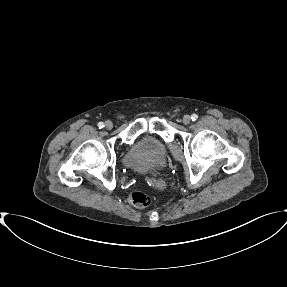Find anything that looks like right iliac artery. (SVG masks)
<instances>
[{
	"label": "right iliac artery",
	"mask_w": 287,
	"mask_h": 287,
	"mask_svg": "<svg viewBox=\"0 0 287 287\" xmlns=\"http://www.w3.org/2000/svg\"><path fill=\"white\" fill-rule=\"evenodd\" d=\"M98 127H99V129L103 128L104 127V123L103 122H99L98 123Z\"/></svg>",
	"instance_id": "right-iliac-artery-1"
}]
</instances>
